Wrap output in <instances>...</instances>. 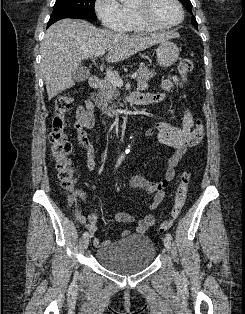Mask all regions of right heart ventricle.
I'll list each match as a JSON object with an SVG mask.
<instances>
[{"mask_svg": "<svg viewBox=\"0 0 245 314\" xmlns=\"http://www.w3.org/2000/svg\"><path fill=\"white\" fill-rule=\"evenodd\" d=\"M125 24L121 30L123 32H150L157 30V28L144 24L136 17L132 6H124Z\"/></svg>", "mask_w": 245, "mask_h": 314, "instance_id": "right-heart-ventricle-1", "label": "right heart ventricle"}]
</instances>
